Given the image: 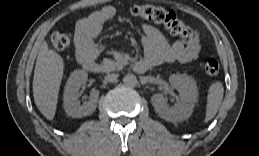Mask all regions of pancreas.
Wrapping results in <instances>:
<instances>
[{
    "instance_id": "obj_1",
    "label": "pancreas",
    "mask_w": 259,
    "mask_h": 156,
    "mask_svg": "<svg viewBox=\"0 0 259 156\" xmlns=\"http://www.w3.org/2000/svg\"><path fill=\"white\" fill-rule=\"evenodd\" d=\"M126 64L125 61H114L111 59H104L101 62V68L104 72H110V71H118L123 68V66Z\"/></svg>"
}]
</instances>
